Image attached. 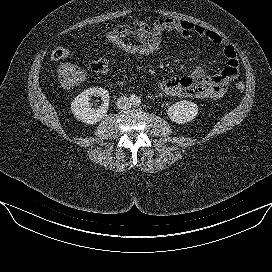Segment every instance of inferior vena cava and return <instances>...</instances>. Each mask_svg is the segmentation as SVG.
<instances>
[{
    "label": "inferior vena cava",
    "mask_w": 272,
    "mask_h": 272,
    "mask_svg": "<svg viewBox=\"0 0 272 272\" xmlns=\"http://www.w3.org/2000/svg\"><path fill=\"white\" fill-rule=\"evenodd\" d=\"M116 105L119 109L127 110L131 107V101L128 97L122 96L117 99Z\"/></svg>",
    "instance_id": "1"
}]
</instances>
